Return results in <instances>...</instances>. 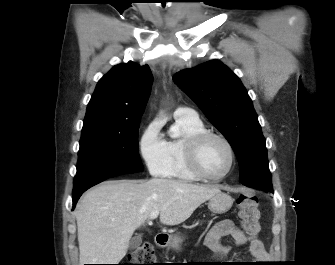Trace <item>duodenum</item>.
<instances>
[{"label":"duodenum","mask_w":335,"mask_h":265,"mask_svg":"<svg viewBox=\"0 0 335 265\" xmlns=\"http://www.w3.org/2000/svg\"><path fill=\"white\" fill-rule=\"evenodd\" d=\"M154 242L158 248L165 247L168 242V236L166 234L159 233L155 236Z\"/></svg>","instance_id":"410a0bca"}]
</instances>
